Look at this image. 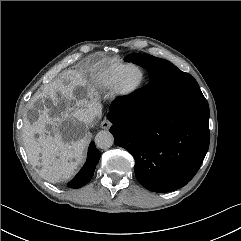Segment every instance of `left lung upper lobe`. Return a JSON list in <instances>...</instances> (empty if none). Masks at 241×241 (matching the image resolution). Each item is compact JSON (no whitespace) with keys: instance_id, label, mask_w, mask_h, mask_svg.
Masks as SVG:
<instances>
[{"instance_id":"5c2ea615","label":"left lung upper lobe","mask_w":241,"mask_h":241,"mask_svg":"<svg viewBox=\"0 0 241 241\" xmlns=\"http://www.w3.org/2000/svg\"><path fill=\"white\" fill-rule=\"evenodd\" d=\"M126 62H132L149 72V77L161 75L167 80L169 90L173 98H179L185 94L199 89L197 81L188 73L178 69L167 60L156 58L148 54H130L124 59Z\"/></svg>"}]
</instances>
